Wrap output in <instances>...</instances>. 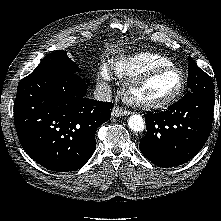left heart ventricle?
I'll return each mask as SVG.
<instances>
[{
    "label": "left heart ventricle",
    "instance_id": "left-heart-ventricle-1",
    "mask_svg": "<svg viewBox=\"0 0 221 221\" xmlns=\"http://www.w3.org/2000/svg\"><path fill=\"white\" fill-rule=\"evenodd\" d=\"M180 83V75L176 71L160 73L134 90L133 95L140 100H158L175 91Z\"/></svg>",
    "mask_w": 221,
    "mask_h": 221
}]
</instances>
